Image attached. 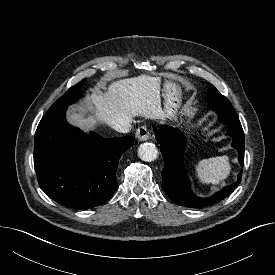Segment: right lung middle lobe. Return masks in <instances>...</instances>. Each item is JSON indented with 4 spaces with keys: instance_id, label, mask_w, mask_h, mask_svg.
I'll return each mask as SVG.
<instances>
[{
    "instance_id": "right-lung-middle-lobe-1",
    "label": "right lung middle lobe",
    "mask_w": 275,
    "mask_h": 275,
    "mask_svg": "<svg viewBox=\"0 0 275 275\" xmlns=\"http://www.w3.org/2000/svg\"><path fill=\"white\" fill-rule=\"evenodd\" d=\"M85 79L71 87L62 97H60L47 111L46 114L56 113L66 109L68 105L75 103L80 96V88Z\"/></svg>"
}]
</instances>
